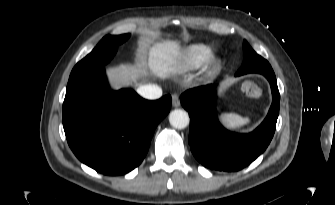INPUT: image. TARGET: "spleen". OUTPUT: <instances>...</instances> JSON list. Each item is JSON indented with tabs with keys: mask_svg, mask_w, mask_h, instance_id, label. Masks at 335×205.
<instances>
[{
	"mask_svg": "<svg viewBox=\"0 0 335 205\" xmlns=\"http://www.w3.org/2000/svg\"><path fill=\"white\" fill-rule=\"evenodd\" d=\"M220 118L225 126L231 130H240L250 122L249 118H243L233 113L222 114Z\"/></svg>",
	"mask_w": 335,
	"mask_h": 205,
	"instance_id": "3e777b00",
	"label": "spleen"
}]
</instances>
